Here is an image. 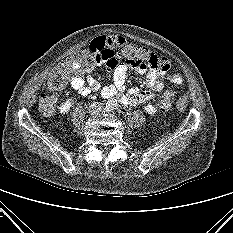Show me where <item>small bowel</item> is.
<instances>
[{
	"mask_svg": "<svg viewBox=\"0 0 233 233\" xmlns=\"http://www.w3.org/2000/svg\"><path fill=\"white\" fill-rule=\"evenodd\" d=\"M124 42L121 36H104L93 40L90 44L91 48L104 52L105 56L100 63L104 64L113 72L112 84L101 89V95L104 98L120 96V101L124 106H137L148 102L155 97L157 92L163 89L164 84L160 80L161 78L167 77L174 84H180L182 82V76L179 73H168L169 66L167 68H161L123 63L114 45ZM108 43H110V46ZM153 56L167 61L166 58L158 57L155 54ZM130 68L144 75L146 89L141 90L134 87L125 92L126 75ZM70 84L82 96H88L100 90L99 83L91 76L84 78L81 75H73Z\"/></svg>",
	"mask_w": 233,
	"mask_h": 233,
	"instance_id": "small-bowel-1",
	"label": "small bowel"
}]
</instances>
